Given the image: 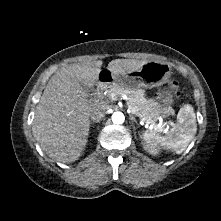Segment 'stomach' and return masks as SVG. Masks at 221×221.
I'll use <instances>...</instances> for the list:
<instances>
[{
  "label": "stomach",
  "instance_id": "1",
  "mask_svg": "<svg viewBox=\"0 0 221 221\" xmlns=\"http://www.w3.org/2000/svg\"><path fill=\"white\" fill-rule=\"evenodd\" d=\"M172 74L171 66L166 62L147 61L140 69L133 71L126 76L119 78V84L128 89H137L140 87L151 89L162 86L170 81ZM171 99L166 98L164 104L155 102L159 114L169 113L171 111Z\"/></svg>",
  "mask_w": 221,
  "mask_h": 221
}]
</instances>
